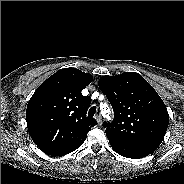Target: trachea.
<instances>
[{
	"mask_svg": "<svg viewBox=\"0 0 184 184\" xmlns=\"http://www.w3.org/2000/svg\"><path fill=\"white\" fill-rule=\"evenodd\" d=\"M96 113V107L93 106L89 109L88 116L93 117Z\"/></svg>",
	"mask_w": 184,
	"mask_h": 184,
	"instance_id": "3493384b",
	"label": "trachea"
}]
</instances>
